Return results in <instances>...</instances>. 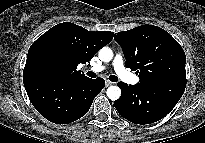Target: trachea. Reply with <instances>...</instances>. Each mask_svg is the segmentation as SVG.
Masks as SVG:
<instances>
[{"mask_svg": "<svg viewBox=\"0 0 205 143\" xmlns=\"http://www.w3.org/2000/svg\"><path fill=\"white\" fill-rule=\"evenodd\" d=\"M87 75L91 78H95L96 77V74L92 71H89L87 72ZM109 80L112 81V82H116L118 80V77L115 76V75H111L109 76Z\"/></svg>", "mask_w": 205, "mask_h": 143, "instance_id": "trachea-1", "label": "trachea"}]
</instances>
